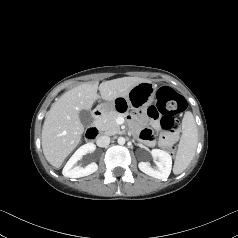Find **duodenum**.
I'll return each mask as SVG.
<instances>
[{"instance_id":"duodenum-1","label":"duodenum","mask_w":238,"mask_h":238,"mask_svg":"<svg viewBox=\"0 0 238 238\" xmlns=\"http://www.w3.org/2000/svg\"><path fill=\"white\" fill-rule=\"evenodd\" d=\"M104 114L105 110L103 108H99L94 111V124L86 132V137L88 139H95L98 136L99 131L96 126V123L104 116Z\"/></svg>"}]
</instances>
